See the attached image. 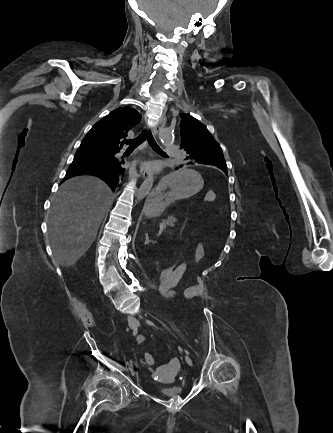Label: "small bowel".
I'll use <instances>...</instances> for the list:
<instances>
[{"mask_svg":"<svg viewBox=\"0 0 333 433\" xmlns=\"http://www.w3.org/2000/svg\"><path fill=\"white\" fill-rule=\"evenodd\" d=\"M204 257V245L202 243H198L195 247V259L197 262L201 261ZM187 262H182V265L176 266L175 270H173L174 275L170 278H166V285L160 284V291L162 295L166 299H174L176 297V292L174 291V287L177 285L180 278L187 270ZM206 287L203 280L199 279L198 282L188 288H186L183 292V298L185 300H191L194 298H201L205 295ZM138 344L143 343L145 341L144 335H138L136 338Z\"/></svg>","mask_w":333,"mask_h":433,"instance_id":"small-bowel-1","label":"small bowel"}]
</instances>
